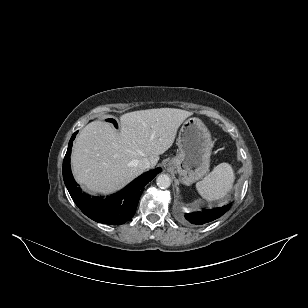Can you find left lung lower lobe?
<instances>
[{"label": "left lung lower lobe", "mask_w": 308, "mask_h": 308, "mask_svg": "<svg viewBox=\"0 0 308 308\" xmlns=\"http://www.w3.org/2000/svg\"><path fill=\"white\" fill-rule=\"evenodd\" d=\"M229 206L230 205H226L213 209H204L199 212L186 213L185 218L192 224L202 225L222 216L226 211H228Z\"/></svg>", "instance_id": "obj_1"}]
</instances>
